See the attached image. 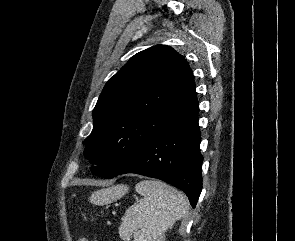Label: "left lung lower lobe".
Wrapping results in <instances>:
<instances>
[{
  "label": "left lung lower lobe",
  "mask_w": 295,
  "mask_h": 241,
  "mask_svg": "<svg viewBox=\"0 0 295 241\" xmlns=\"http://www.w3.org/2000/svg\"><path fill=\"white\" fill-rule=\"evenodd\" d=\"M197 107L150 140L110 177L135 173L163 180L181 189L195 208L202 190L200 130Z\"/></svg>",
  "instance_id": "0a47b994"
}]
</instances>
